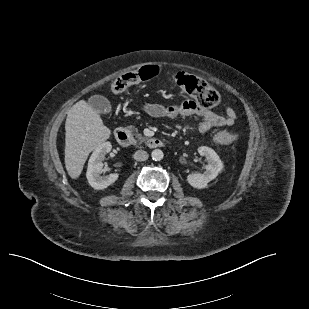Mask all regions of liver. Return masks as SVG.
<instances>
[{
	"mask_svg": "<svg viewBox=\"0 0 309 309\" xmlns=\"http://www.w3.org/2000/svg\"><path fill=\"white\" fill-rule=\"evenodd\" d=\"M65 130V167L69 176L77 179L90 152L110 137L111 130L84 100L69 109Z\"/></svg>",
	"mask_w": 309,
	"mask_h": 309,
	"instance_id": "liver-1",
	"label": "liver"
}]
</instances>
